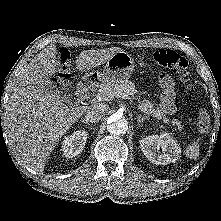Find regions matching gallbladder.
I'll list each match as a JSON object with an SVG mask.
<instances>
[{
    "mask_svg": "<svg viewBox=\"0 0 221 221\" xmlns=\"http://www.w3.org/2000/svg\"><path fill=\"white\" fill-rule=\"evenodd\" d=\"M46 89L56 95L61 101L68 102L69 98L66 94L60 92L50 79H45L44 81Z\"/></svg>",
    "mask_w": 221,
    "mask_h": 221,
    "instance_id": "obj_1",
    "label": "gallbladder"
}]
</instances>
